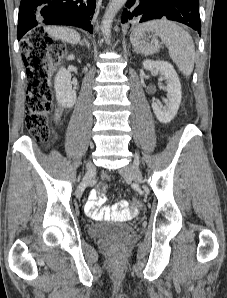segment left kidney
<instances>
[{
  "label": "left kidney",
  "mask_w": 227,
  "mask_h": 298,
  "mask_svg": "<svg viewBox=\"0 0 227 298\" xmlns=\"http://www.w3.org/2000/svg\"><path fill=\"white\" fill-rule=\"evenodd\" d=\"M145 70L157 69L166 79L167 87V106H161L156 102L152 103L153 111L161 123H169L177 114L181 103V84L173 66L165 61H143Z\"/></svg>",
  "instance_id": "left-kidney-1"
}]
</instances>
